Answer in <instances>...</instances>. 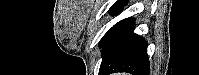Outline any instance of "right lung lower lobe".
Here are the masks:
<instances>
[{
    "instance_id": "right-lung-lower-lobe-1",
    "label": "right lung lower lobe",
    "mask_w": 199,
    "mask_h": 75,
    "mask_svg": "<svg viewBox=\"0 0 199 75\" xmlns=\"http://www.w3.org/2000/svg\"><path fill=\"white\" fill-rule=\"evenodd\" d=\"M134 20L126 18L115 24L103 37L99 75L128 72L149 75L147 42L133 32Z\"/></svg>"
}]
</instances>
